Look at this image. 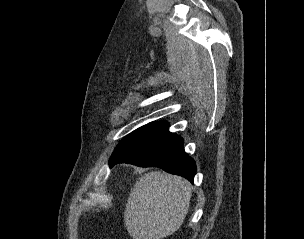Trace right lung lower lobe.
Segmentation results:
<instances>
[{"instance_id": "obj_1", "label": "right lung lower lobe", "mask_w": 304, "mask_h": 239, "mask_svg": "<svg viewBox=\"0 0 304 239\" xmlns=\"http://www.w3.org/2000/svg\"><path fill=\"white\" fill-rule=\"evenodd\" d=\"M168 127L169 124H166L115 151L110 158V167L117 163L159 167L193 182L196 173L195 162L185 153L183 139L170 133Z\"/></svg>"}]
</instances>
